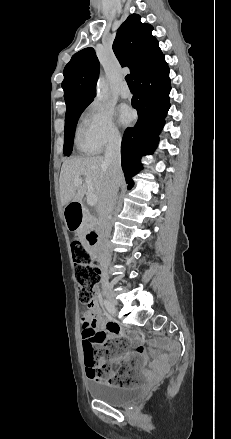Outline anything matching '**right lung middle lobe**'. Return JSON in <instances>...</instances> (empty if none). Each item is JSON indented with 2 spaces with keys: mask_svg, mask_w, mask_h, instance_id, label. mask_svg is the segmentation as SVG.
<instances>
[{
  "mask_svg": "<svg viewBox=\"0 0 231 439\" xmlns=\"http://www.w3.org/2000/svg\"><path fill=\"white\" fill-rule=\"evenodd\" d=\"M89 104L90 103H86V104H83V105L66 110L63 152L67 156H70L72 149H73L74 133H75V128H76L78 119H79L81 113L84 111V109Z\"/></svg>",
  "mask_w": 231,
  "mask_h": 439,
  "instance_id": "right-lung-middle-lobe-1",
  "label": "right lung middle lobe"
}]
</instances>
